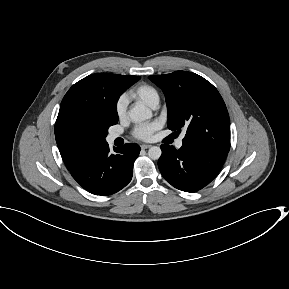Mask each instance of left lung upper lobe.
<instances>
[{
	"label": "left lung upper lobe",
	"mask_w": 289,
	"mask_h": 289,
	"mask_svg": "<svg viewBox=\"0 0 289 289\" xmlns=\"http://www.w3.org/2000/svg\"><path fill=\"white\" fill-rule=\"evenodd\" d=\"M149 79L166 97L168 128L186 130L183 141L229 152L230 120L217 89L203 77L187 71L153 75Z\"/></svg>",
	"instance_id": "1"
}]
</instances>
